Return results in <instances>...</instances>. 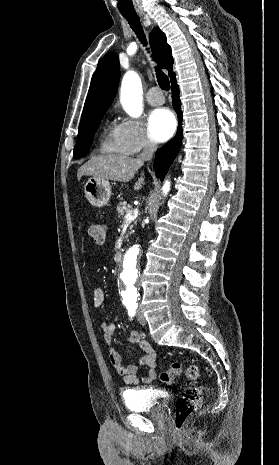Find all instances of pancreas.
I'll return each mask as SVG.
<instances>
[{
  "label": "pancreas",
  "instance_id": "obj_1",
  "mask_svg": "<svg viewBox=\"0 0 279 465\" xmlns=\"http://www.w3.org/2000/svg\"><path fill=\"white\" fill-rule=\"evenodd\" d=\"M132 209V206L130 204H127L126 202H121L117 206V212H118V217L121 218L125 216L127 213H129ZM134 224H137V221H134Z\"/></svg>",
  "mask_w": 279,
  "mask_h": 465
}]
</instances>
